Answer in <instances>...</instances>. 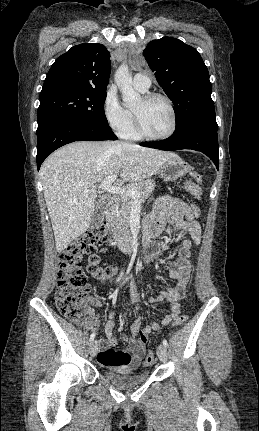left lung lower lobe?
Wrapping results in <instances>:
<instances>
[{"mask_svg":"<svg viewBox=\"0 0 259 431\" xmlns=\"http://www.w3.org/2000/svg\"><path fill=\"white\" fill-rule=\"evenodd\" d=\"M217 126L203 123L189 124L176 130L172 136L165 140L142 143V146L173 151L179 149H192L206 154L219 168V147Z\"/></svg>","mask_w":259,"mask_h":431,"instance_id":"1","label":"left lung lower lobe"}]
</instances>
